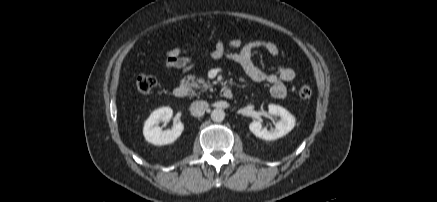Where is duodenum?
Segmentation results:
<instances>
[{
    "mask_svg": "<svg viewBox=\"0 0 437 202\" xmlns=\"http://www.w3.org/2000/svg\"><path fill=\"white\" fill-rule=\"evenodd\" d=\"M186 94V88L182 85H178L173 89V95L177 99H183ZM222 95L226 99H232L234 97V91L230 88H226L223 90Z\"/></svg>",
    "mask_w": 437,
    "mask_h": 202,
    "instance_id": "duodenum-1",
    "label": "duodenum"
}]
</instances>
